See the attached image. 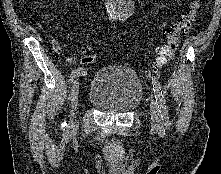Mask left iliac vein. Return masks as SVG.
Returning <instances> with one entry per match:
<instances>
[{
    "mask_svg": "<svg viewBox=\"0 0 221 174\" xmlns=\"http://www.w3.org/2000/svg\"><path fill=\"white\" fill-rule=\"evenodd\" d=\"M150 115H151V124L153 129H158L160 127V114L158 110L157 103L152 100L150 103Z\"/></svg>",
    "mask_w": 221,
    "mask_h": 174,
    "instance_id": "left-iliac-vein-1",
    "label": "left iliac vein"
}]
</instances>
